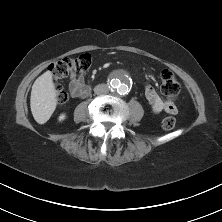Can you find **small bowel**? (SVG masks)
I'll list each match as a JSON object with an SVG mask.
<instances>
[{
	"mask_svg": "<svg viewBox=\"0 0 222 222\" xmlns=\"http://www.w3.org/2000/svg\"><path fill=\"white\" fill-rule=\"evenodd\" d=\"M85 79L83 76H78L72 74L68 79V88L70 94L74 98H81L86 95L85 93ZM145 97L149 104L151 105V110L153 114H159L165 112L167 114H176L177 107L172 101H164L156 92V90L148 85L145 88Z\"/></svg>",
	"mask_w": 222,
	"mask_h": 222,
	"instance_id": "1",
	"label": "small bowel"
}]
</instances>
